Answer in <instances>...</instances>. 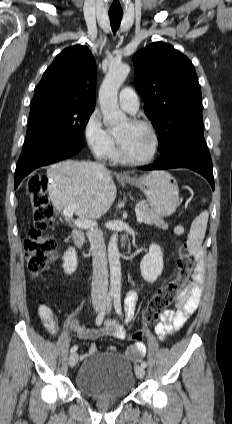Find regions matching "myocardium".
I'll return each mask as SVG.
<instances>
[{
  "label": "myocardium",
  "instance_id": "1",
  "mask_svg": "<svg viewBox=\"0 0 232 424\" xmlns=\"http://www.w3.org/2000/svg\"><path fill=\"white\" fill-rule=\"evenodd\" d=\"M130 123L133 124V125L145 128L150 133V135L152 137V150H151L150 154L147 155L144 158H139V159L131 158L124 153L121 142L118 139V137L116 136L118 158L121 162H123L125 164H129V165H145V164H148V163H150L151 161L154 160V158L156 157V155L158 153L159 136H158L155 128L150 123H148L147 121L139 120V119H132V120H130Z\"/></svg>",
  "mask_w": 232,
  "mask_h": 424
}]
</instances>
